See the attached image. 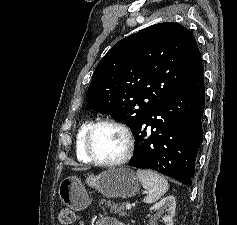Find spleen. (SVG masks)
Masks as SVG:
<instances>
[{
	"label": "spleen",
	"instance_id": "1",
	"mask_svg": "<svg viewBox=\"0 0 237 225\" xmlns=\"http://www.w3.org/2000/svg\"><path fill=\"white\" fill-rule=\"evenodd\" d=\"M136 173L142 186L149 191L143 200L145 203H153L167 192L168 181L161 175L150 170H137Z\"/></svg>",
	"mask_w": 237,
	"mask_h": 225
}]
</instances>
